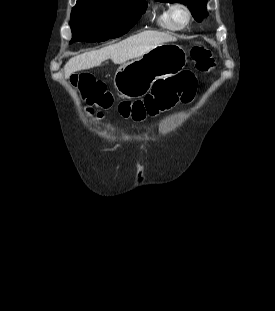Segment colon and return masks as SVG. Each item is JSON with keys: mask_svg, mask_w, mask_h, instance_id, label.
<instances>
[{"mask_svg": "<svg viewBox=\"0 0 275 311\" xmlns=\"http://www.w3.org/2000/svg\"><path fill=\"white\" fill-rule=\"evenodd\" d=\"M191 57L199 71L207 72L215 65L211 51L203 45L194 46L191 50ZM71 81L81 89L83 100L87 104H96L101 108H109L112 105L113 99L106 86L102 82L96 81L90 74H75L71 77ZM195 89V76L190 72H182L156 82L152 92L143 100L123 101L119 107L134 115L135 119L156 116L178 102L191 101Z\"/></svg>", "mask_w": 275, "mask_h": 311, "instance_id": "1", "label": "colon"}]
</instances>
